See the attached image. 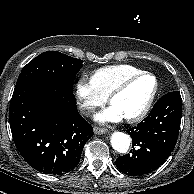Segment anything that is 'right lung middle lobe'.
<instances>
[{
	"label": "right lung middle lobe",
	"mask_w": 194,
	"mask_h": 194,
	"mask_svg": "<svg viewBox=\"0 0 194 194\" xmlns=\"http://www.w3.org/2000/svg\"><path fill=\"white\" fill-rule=\"evenodd\" d=\"M83 61L56 51L40 54L21 71L16 86L39 83L56 90L72 92L77 72Z\"/></svg>",
	"instance_id": "1"
}]
</instances>
